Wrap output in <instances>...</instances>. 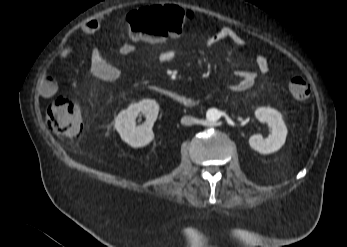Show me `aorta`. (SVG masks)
<instances>
[{
  "instance_id": "1",
  "label": "aorta",
  "mask_w": 347,
  "mask_h": 247,
  "mask_svg": "<svg viewBox=\"0 0 347 247\" xmlns=\"http://www.w3.org/2000/svg\"><path fill=\"white\" fill-rule=\"evenodd\" d=\"M207 121L210 123H214L219 120L220 112L217 109H209L206 113Z\"/></svg>"
}]
</instances>
